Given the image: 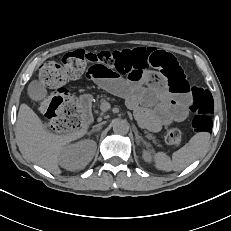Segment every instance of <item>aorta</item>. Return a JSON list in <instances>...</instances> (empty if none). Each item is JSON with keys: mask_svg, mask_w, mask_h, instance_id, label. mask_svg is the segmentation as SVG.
Returning <instances> with one entry per match:
<instances>
[{"mask_svg": "<svg viewBox=\"0 0 231 231\" xmlns=\"http://www.w3.org/2000/svg\"><path fill=\"white\" fill-rule=\"evenodd\" d=\"M113 131L116 134L125 135L129 131V124L125 120L115 119L112 123Z\"/></svg>", "mask_w": 231, "mask_h": 231, "instance_id": "1", "label": "aorta"}]
</instances>
